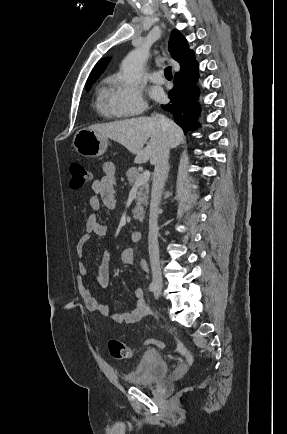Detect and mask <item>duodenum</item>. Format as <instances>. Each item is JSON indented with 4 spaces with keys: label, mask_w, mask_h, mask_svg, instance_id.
<instances>
[{
    "label": "duodenum",
    "mask_w": 287,
    "mask_h": 434,
    "mask_svg": "<svg viewBox=\"0 0 287 434\" xmlns=\"http://www.w3.org/2000/svg\"><path fill=\"white\" fill-rule=\"evenodd\" d=\"M142 238V231L140 229H136L131 234V239L134 242L140 241Z\"/></svg>",
    "instance_id": "410a0bca"
}]
</instances>
